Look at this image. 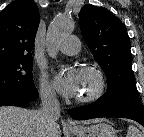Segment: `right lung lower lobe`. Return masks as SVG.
Returning a JSON list of instances; mask_svg holds the SVG:
<instances>
[{"instance_id": "1", "label": "right lung lower lobe", "mask_w": 144, "mask_h": 137, "mask_svg": "<svg viewBox=\"0 0 144 137\" xmlns=\"http://www.w3.org/2000/svg\"><path fill=\"white\" fill-rule=\"evenodd\" d=\"M28 100L21 96L12 95V94H5L0 95V106H18V107H27L29 105Z\"/></svg>"}]
</instances>
